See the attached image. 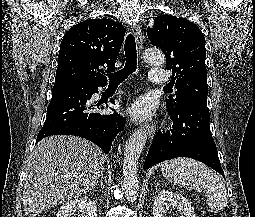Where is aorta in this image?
<instances>
[{
  "mask_svg": "<svg viewBox=\"0 0 255 217\" xmlns=\"http://www.w3.org/2000/svg\"><path fill=\"white\" fill-rule=\"evenodd\" d=\"M143 58L148 64L162 65L164 54L158 49H147ZM147 140L146 130L135 131L126 142L123 161V188L126 198L134 202L139 188L138 160Z\"/></svg>",
  "mask_w": 255,
  "mask_h": 217,
  "instance_id": "1",
  "label": "aorta"
}]
</instances>
